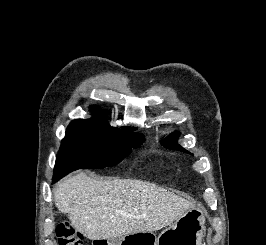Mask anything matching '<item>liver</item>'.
<instances>
[{"mask_svg": "<svg viewBox=\"0 0 266 245\" xmlns=\"http://www.w3.org/2000/svg\"><path fill=\"white\" fill-rule=\"evenodd\" d=\"M60 213L91 241L160 231L194 209L193 203L144 181L91 179L85 173L66 177L54 189Z\"/></svg>", "mask_w": 266, "mask_h": 245, "instance_id": "6515ba94", "label": "liver"}]
</instances>
